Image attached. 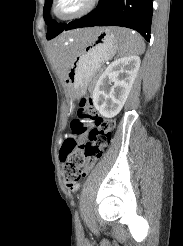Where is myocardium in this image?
<instances>
[{
    "label": "myocardium",
    "mask_w": 183,
    "mask_h": 246,
    "mask_svg": "<svg viewBox=\"0 0 183 246\" xmlns=\"http://www.w3.org/2000/svg\"><path fill=\"white\" fill-rule=\"evenodd\" d=\"M60 1L61 0H53L51 6V13L56 19L61 21H69V20L80 18L91 12L99 2V0H86L84 5L80 9L76 10L75 12L69 14H60L58 12V5Z\"/></svg>",
    "instance_id": "myocardium-1"
}]
</instances>
